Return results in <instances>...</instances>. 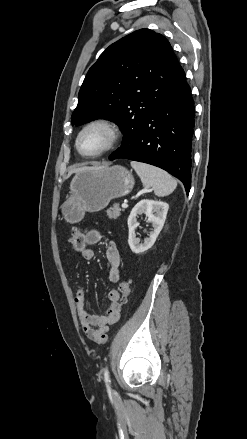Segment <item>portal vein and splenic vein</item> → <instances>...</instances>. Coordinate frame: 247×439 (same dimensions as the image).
<instances>
[{
    "label": "portal vein and splenic vein",
    "instance_id": "obj_1",
    "mask_svg": "<svg viewBox=\"0 0 247 439\" xmlns=\"http://www.w3.org/2000/svg\"><path fill=\"white\" fill-rule=\"evenodd\" d=\"M121 206H122V208H127L128 204H127V202H123Z\"/></svg>",
    "mask_w": 247,
    "mask_h": 439
}]
</instances>
